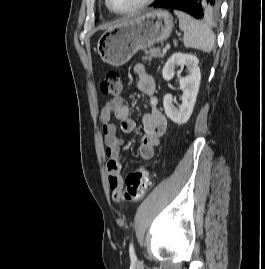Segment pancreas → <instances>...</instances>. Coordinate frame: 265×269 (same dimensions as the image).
<instances>
[{"label":"pancreas","mask_w":265,"mask_h":269,"mask_svg":"<svg viewBox=\"0 0 265 269\" xmlns=\"http://www.w3.org/2000/svg\"><path fill=\"white\" fill-rule=\"evenodd\" d=\"M164 53H161V50L159 48L155 49H149L147 51H145V56L143 57V59L145 61H151V59L154 57H159V58H163L164 57Z\"/></svg>","instance_id":"pancreas-1"}]
</instances>
